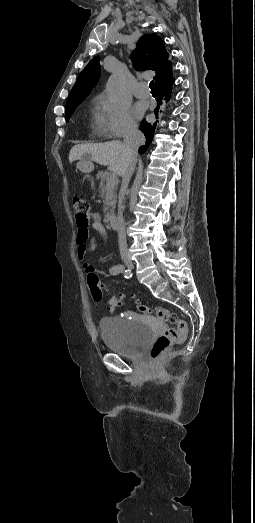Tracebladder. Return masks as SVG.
Instances as JSON below:
<instances>
[{
  "label": "bladder",
  "instance_id": "31cf9c89",
  "mask_svg": "<svg viewBox=\"0 0 255 523\" xmlns=\"http://www.w3.org/2000/svg\"><path fill=\"white\" fill-rule=\"evenodd\" d=\"M134 321L130 327H126L116 319H102L100 333L105 345L123 355L138 354L150 339L152 328L141 320Z\"/></svg>",
  "mask_w": 255,
  "mask_h": 523
}]
</instances>
